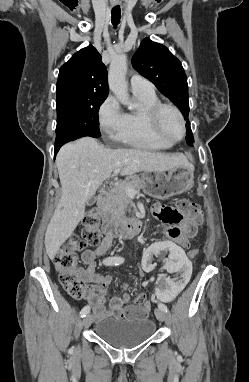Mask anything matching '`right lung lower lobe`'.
Returning <instances> with one entry per match:
<instances>
[{
  "label": "right lung lower lobe",
  "instance_id": "right-lung-lower-lobe-1",
  "mask_svg": "<svg viewBox=\"0 0 249 382\" xmlns=\"http://www.w3.org/2000/svg\"><path fill=\"white\" fill-rule=\"evenodd\" d=\"M64 144H65V143H62V144H58V145H55V150H54V158H55V156H56L57 152L59 151L60 147H61L62 145H64Z\"/></svg>",
  "mask_w": 249,
  "mask_h": 382
}]
</instances>
